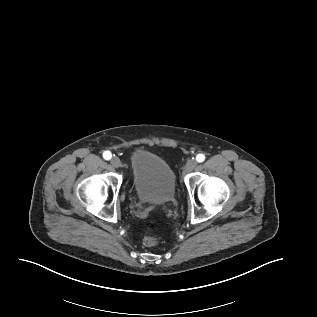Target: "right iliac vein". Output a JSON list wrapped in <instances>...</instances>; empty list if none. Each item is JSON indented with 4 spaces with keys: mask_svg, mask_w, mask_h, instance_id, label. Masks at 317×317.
Instances as JSON below:
<instances>
[{
    "mask_svg": "<svg viewBox=\"0 0 317 317\" xmlns=\"http://www.w3.org/2000/svg\"><path fill=\"white\" fill-rule=\"evenodd\" d=\"M110 162L115 168H119L121 166V161L118 157H113Z\"/></svg>",
    "mask_w": 317,
    "mask_h": 317,
    "instance_id": "obj_1",
    "label": "right iliac vein"
}]
</instances>
